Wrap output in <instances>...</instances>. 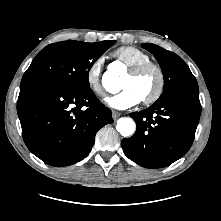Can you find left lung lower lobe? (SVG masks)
Returning a JSON list of instances; mask_svg holds the SVG:
<instances>
[{"instance_id": "0a47b994", "label": "left lung lower lobe", "mask_w": 221, "mask_h": 221, "mask_svg": "<svg viewBox=\"0 0 221 221\" xmlns=\"http://www.w3.org/2000/svg\"><path fill=\"white\" fill-rule=\"evenodd\" d=\"M199 93L181 92L130 113L136 133L122 140L125 155L146 168L166 167L190 149L200 119Z\"/></svg>"}]
</instances>
